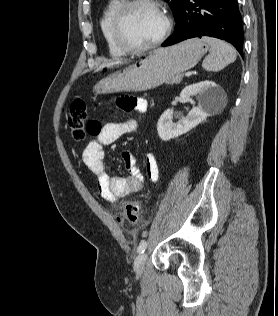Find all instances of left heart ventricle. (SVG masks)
<instances>
[{
  "mask_svg": "<svg viewBox=\"0 0 278 316\" xmlns=\"http://www.w3.org/2000/svg\"><path fill=\"white\" fill-rule=\"evenodd\" d=\"M164 27L160 13L151 5L134 7L126 16L123 31L127 41L133 46H143L154 41Z\"/></svg>",
  "mask_w": 278,
  "mask_h": 316,
  "instance_id": "1",
  "label": "left heart ventricle"
}]
</instances>
